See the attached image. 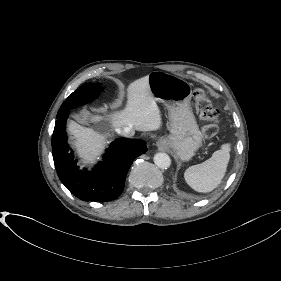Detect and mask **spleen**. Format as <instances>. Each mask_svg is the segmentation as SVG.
<instances>
[{"label":"spleen","instance_id":"obj_1","mask_svg":"<svg viewBox=\"0 0 281 281\" xmlns=\"http://www.w3.org/2000/svg\"><path fill=\"white\" fill-rule=\"evenodd\" d=\"M229 159L230 144H224L208 160L189 167L184 173L185 181L197 192H210L221 183Z\"/></svg>","mask_w":281,"mask_h":281}]
</instances>
